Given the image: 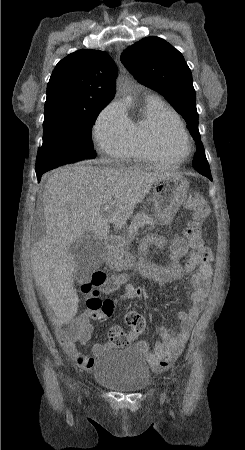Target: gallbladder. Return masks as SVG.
<instances>
[{"label":"gallbladder","instance_id":"bac80fb5","mask_svg":"<svg viewBox=\"0 0 245 450\" xmlns=\"http://www.w3.org/2000/svg\"><path fill=\"white\" fill-rule=\"evenodd\" d=\"M69 252L75 260V279H80L86 272L98 268L104 259L103 244L89 234L77 238L71 244Z\"/></svg>","mask_w":245,"mask_h":450}]
</instances>
